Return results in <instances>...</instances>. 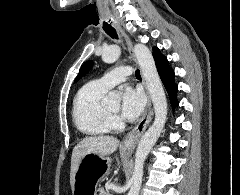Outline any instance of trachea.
<instances>
[{"mask_svg": "<svg viewBox=\"0 0 240 195\" xmlns=\"http://www.w3.org/2000/svg\"><path fill=\"white\" fill-rule=\"evenodd\" d=\"M103 30L113 39H119L117 32L115 31V29L113 27H111V25H104L103 26ZM135 76L139 79H141V75H140V71L136 70L135 71Z\"/></svg>", "mask_w": 240, "mask_h": 195, "instance_id": "3493384b", "label": "trachea"}]
</instances>
